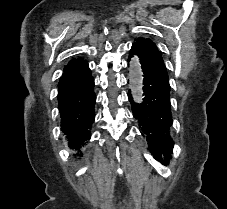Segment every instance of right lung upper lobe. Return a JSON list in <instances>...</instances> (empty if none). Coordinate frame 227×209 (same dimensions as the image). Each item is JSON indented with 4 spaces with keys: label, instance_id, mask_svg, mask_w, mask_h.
<instances>
[{
    "label": "right lung upper lobe",
    "instance_id": "1",
    "mask_svg": "<svg viewBox=\"0 0 227 209\" xmlns=\"http://www.w3.org/2000/svg\"><path fill=\"white\" fill-rule=\"evenodd\" d=\"M85 63H86V61H84L83 59H74L73 61L69 62L70 65H82ZM61 86H62L61 84H58V88Z\"/></svg>",
    "mask_w": 227,
    "mask_h": 209
}]
</instances>
